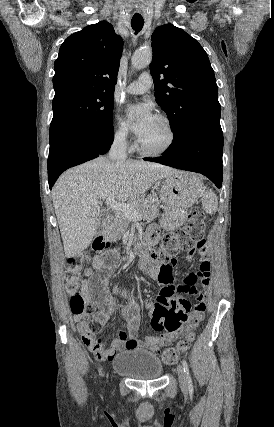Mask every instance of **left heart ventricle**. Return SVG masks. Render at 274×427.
<instances>
[{"label":"left heart ventricle","mask_w":274,"mask_h":427,"mask_svg":"<svg viewBox=\"0 0 274 427\" xmlns=\"http://www.w3.org/2000/svg\"><path fill=\"white\" fill-rule=\"evenodd\" d=\"M139 141L146 149L158 151L168 143L169 132L165 125L155 118L145 135L139 138Z\"/></svg>","instance_id":"1"}]
</instances>
